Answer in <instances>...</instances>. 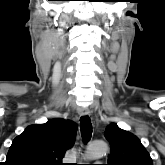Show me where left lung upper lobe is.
<instances>
[{"label": "left lung upper lobe", "instance_id": "left-lung-upper-lobe-1", "mask_svg": "<svg viewBox=\"0 0 165 165\" xmlns=\"http://www.w3.org/2000/svg\"><path fill=\"white\" fill-rule=\"evenodd\" d=\"M104 135L111 148L107 165H153L149 153L132 133L112 123Z\"/></svg>", "mask_w": 165, "mask_h": 165}]
</instances>
